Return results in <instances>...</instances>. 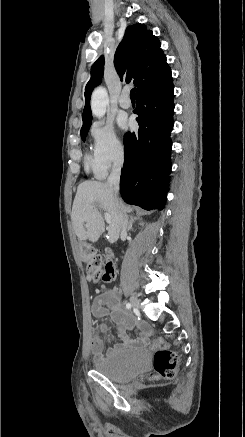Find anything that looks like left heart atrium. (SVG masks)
I'll use <instances>...</instances> for the list:
<instances>
[{
	"instance_id": "1",
	"label": "left heart atrium",
	"mask_w": 245,
	"mask_h": 437,
	"mask_svg": "<svg viewBox=\"0 0 245 437\" xmlns=\"http://www.w3.org/2000/svg\"><path fill=\"white\" fill-rule=\"evenodd\" d=\"M120 126H121L122 128L127 127V121L124 120V119L120 120Z\"/></svg>"
}]
</instances>
